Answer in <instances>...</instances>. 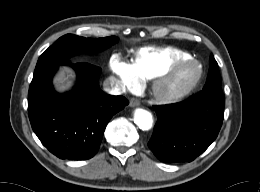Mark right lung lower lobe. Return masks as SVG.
<instances>
[{
  "instance_id": "right-lung-lower-lobe-1",
  "label": "right lung lower lobe",
  "mask_w": 260,
  "mask_h": 192,
  "mask_svg": "<svg viewBox=\"0 0 260 192\" xmlns=\"http://www.w3.org/2000/svg\"><path fill=\"white\" fill-rule=\"evenodd\" d=\"M49 64L34 72L28 93V114L33 131L42 144L61 159H90L99 149L105 128L114 114L129 102L100 90L101 68L76 63L78 83L67 94H58L51 83L59 65Z\"/></svg>"
}]
</instances>
